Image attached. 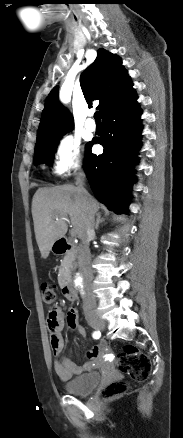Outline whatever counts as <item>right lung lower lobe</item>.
<instances>
[{
    "instance_id": "1",
    "label": "right lung lower lobe",
    "mask_w": 183,
    "mask_h": 438,
    "mask_svg": "<svg viewBox=\"0 0 183 438\" xmlns=\"http://www.w3.org/2000/svg\"><path fill=\"white\" fill-rule=\"evenodd\" d=\"M136 93L102 117L103 134L87 144L84 169L96 198L118 214H128V195L133 183L136 149L142 130ZM104 146L102 155L91 152L93 144Z\"/></svg>"
}]
</instances>
